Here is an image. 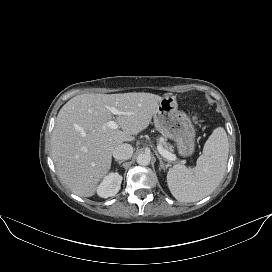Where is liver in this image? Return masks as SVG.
Here are the masks:
<instances>
[{"label": "liver", "mask_w": 272, "mask_h": 272, "mask_svg": "<svg viewBox=\"0 0 272 272\" xmlns=\"http://www.w3.org/2000/svg\"><path fill=\"white\" fill-rule=\"evenodd\" d=\"M162 97L144 92L82 94L59 111L51 155L62 182L76 195L93 196L111 168L112 152L145 130ZM120 114L114 117L109 108ZM115 119L119 129L106 124Z\"/></svg>", "instance_id": "obj_1"}]
</instances>
